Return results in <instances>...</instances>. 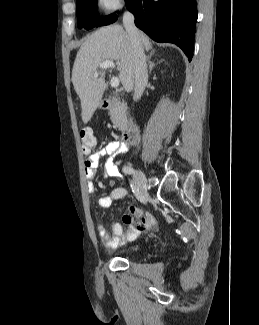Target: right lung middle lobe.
Masks as SVG:
<instances>
[{
    "label": "right lung middle lobe",
    "instance_id": "1",
    "mask_svg": "<svg viewBox=\"0 0 259 325\" xmlns=\"http://www.w3.org/2000/svg\"><path fill=\"white\" fill-rule=\"evenodd\" d=\"M97 0H77L76 11L78 28L91 29L114 23L118 16L113 13L102 19L96 15Z\"/></svg>",
    "mask_w": 259,
    "mask_h": 325
}]
</instances>
